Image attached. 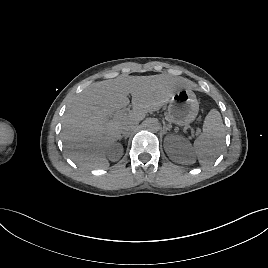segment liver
Listing matches in <instances>:
<instances>
[{
  "label": "liver",
  "mask_w": 268,
  "mask_h": 268,
  "mask_svg": "<svg viewBox=\"0 0 268 268\" xmlns=\"http://www.w3.org/2000/svg\"><path fill=\"white\" fill-rule=\"evenodd\" d=\"M186 85L185 79L165 74L120 75L92 83L74 97L63 116L61 136L69 157L83 168H107L106 150L121 137V124H138L146 113L159 110ZM129 94L133 110L110 119V114L129 104Z\"/></svg>",
  "instance_id": "liver-1"
}]
</instances>
